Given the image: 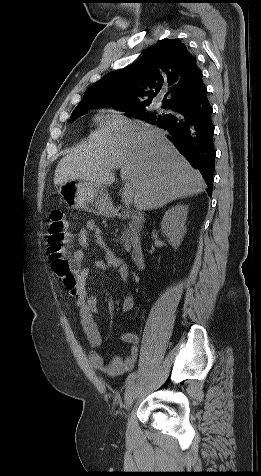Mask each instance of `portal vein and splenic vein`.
I'll return each mask as SVG.
<instances>
[{"instance_id": "portal-vein-and-splenic-vein-1", "label": "portal vein and splenic vein", "mask_w": 261, "mask_h": 476, "mask_svg": "<svg viewBox=\"0 0 261 476\" xmlns=\"http://www.w3.org/2000/svg\"><path fill=\"white\" fill-rule=\"evenodd\" d=\"M122 201L129 205L133 201V192L129 184H125L122 192Z\"/></svg>"}]
</instances>
